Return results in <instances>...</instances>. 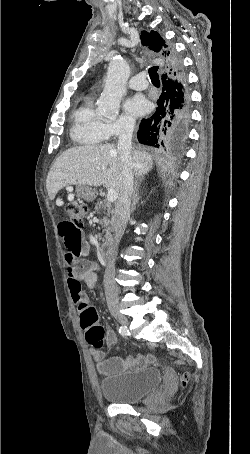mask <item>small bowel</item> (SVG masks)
Masks as SVG:
<instances>
[{"label":"small bowel","instance_id":"1","mask_svg":"<svg viewBox=\"0 0 250 454\" xmlns=\"http://www.w3.org/2000/svg\"><path fill=\"white\" fill-rule=\"evenodd\" d=\"M59 234L64 241L65 262L67 265V281L72 300L79 313L91 305L90 299L82 288L84 283L88 289H92L97 282V266L94 262L85 259L88 252V244L84 239L80 228L74 227L69 221H63L59 225ZM113 331L107 332V343L109 346L115 343ZM91 355L96 362L97 370L102 375H109L120 372L128 367H137L143 363L154 361V356L148 355L137 359H122L112 357L105 359L100 349L92 348Z\"/></svg>","mask_w":250,"mask_h":454}]
</instances>
